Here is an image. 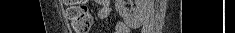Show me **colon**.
<instances>
[{"label":"colon","mask_w":235,"mask_h":33,"mask_svg":"<svg viewBox=\"0 0 235 33\" xmlns=\"http://www.w3.org/2000/svg\"><path fill=\"white\" fill-rule=\"evenodd\" d=\"M67 18L76 33H88L92 16L84 1H67Z\"/></svg>","instance_id":"5ec220e1"}]
</instances>
